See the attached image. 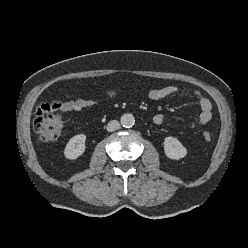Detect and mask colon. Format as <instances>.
Listing matches in <instances>:
<instances>
[{
	"instance_id": "1",
	"label": "colon",
	"mask_w": 248,
	"mask_h": 248,
	"mask_svg": "<svg viewBox=\"0 0 248 248\" xmlns=\"http://www.w3.org/2000/svg\"><path fill=\"white\" fill-rule=\"evenodd\" d=\"M117 92L118 90L116 89H108L96 97L95 100L113 97ZM62 127L63 123L61 116L57 114H41L37 116L34 121V129L44 142L57 140L61 135ZM202 137L205 141L211 140V134L209 132H203Z\"/></svg>"
}]
</instances>
